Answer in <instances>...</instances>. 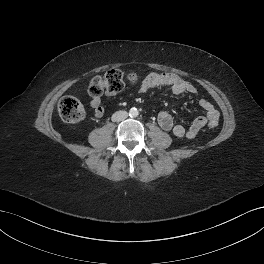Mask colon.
I'll return each mask as SVG.
<instances>
[{
    "label": "colon",
    "mask_w": 264,
    "mask_h": 264,
    "mask_svg": "<svg viewBox=\"0 0 264 264\" xmlns=\"http://www.w3.org/2000/svg\"><path fill=\"white\" fill-rule=\"evenodd\" d=\"M136 75L125 76L120 70H110L104 76L94 77L89 84L88 92L92 97H99L103 92L115 94L120 92L127 82L135 83ZM58 112L61 119L69 124H76L85 118V109L83 104L74 97H63L58 104ZM209 128L218 126V121L208 122Z\"/></svg>",
    "instance_id": "colon-1"
}]
</instances>
